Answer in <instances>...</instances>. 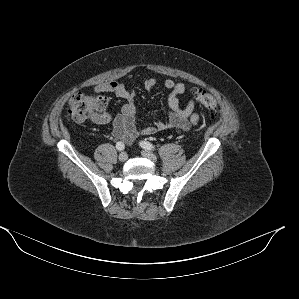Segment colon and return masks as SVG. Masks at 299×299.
<instances>
[{
	"mask_svg": "<svg viewBox=\"0 0 299 299\" xmlns=\"http://www.w3.org/2000/svg\"><path fill=\"white\" fill-rule=\"evenodd\" d=\"M195 99L207 108L212 116L218 115L217 101L213 95L198 90L194 93ZM108 104L105 96H91L82 93L73 95L68 102L67 118L74 123H82L96 118Z\"/></svg>",
	"mask_w": 299,
	"mask_h": 299,
	"instance_id": "1",
	"label": "colon"
}]
</instances>
